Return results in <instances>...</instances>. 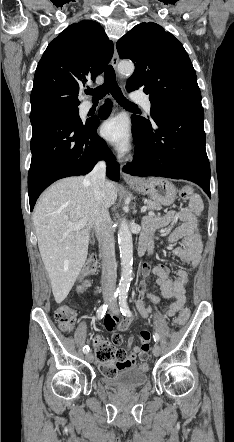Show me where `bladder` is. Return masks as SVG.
I'll return each instance as SVG.
<instances>
[{"label":"bladder","instance_id":"1","mask_svg":"<svg viewBox=\"0 0 234 442\" xmlns=\"http://www.w3.org/2000/svg\"><path fill=\"white\" fill-rule=\"evenodd\" d=\"M147 380V369L135 365L119 368L113 375L103 377L107 386L117 389H135L143 386Z\"/></svg>","mask_w":234,"mask_h":442}]
</instances>
